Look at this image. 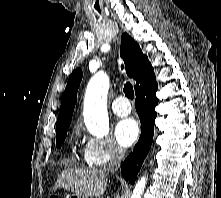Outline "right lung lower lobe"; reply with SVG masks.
<instances>
[{"label":"right lung lower lobe","instance_id":"obj_1","mask_svg":"<svg viewBox=\"0 0 221 198\" xmlns=\"http://www.w3.org/2000/svg\"><path fill=\"white\" fill-rule=\"evenodd\" d=\"M156 78L151 79L143 88L136 91L135 107L141 122V135L133 152L121 166L123 177L134 184L141 165L148 154L154 135V122L157 116L155 106L158 104Z\"/></svg>","mask_w":221,"mask_h":198}]
</instances>
